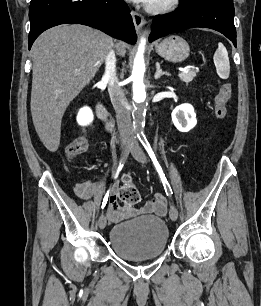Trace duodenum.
<instances>
[{
    "instance_id": "obj_1",
    "label": "duodenum",
    "mask_w": 261,
    "mask_h": 306,
    "mask_svg": "<svg viewBox=\"0 0 261 306\" xmlns=\"http://www.w3.org/2000/svg\"><path fill=\"white\" fill-rule=\"evenodd\" d=\"M96 113H97L98 118L106 125L108 129H110L113 125L112 120L103 103L98 102L96 104Z\"/></svg>"
}]
</instances>
